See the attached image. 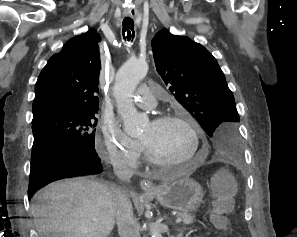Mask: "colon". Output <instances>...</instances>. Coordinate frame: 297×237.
Masks as SVG:
<instances>
[{
  "label": "colon",
  "instance_id": "1",
  "mask_svg": "<svg viewBox=\"0 0 297 237\" xmlns=\"http://www.w3.org/2000/svg\"><path fill=\"white\" fill-rule=\"evenodd\" d=\"M215 207L211 214V222L215 228L226 230L228 221L226 213L233 204L234 182L229 179L226 173H218L213 178Z\"/></svg>",
  "mask_w": 297,
  "mask_h": 237
}]
</instances>
